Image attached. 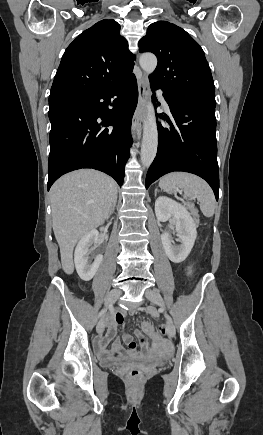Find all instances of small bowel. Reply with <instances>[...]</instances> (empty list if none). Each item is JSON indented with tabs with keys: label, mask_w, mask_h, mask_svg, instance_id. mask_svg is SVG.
<instances>
[{
	"label": "small bowel",
	"mask_w": 263,
	"mask_h": 435,
	"mask_svg": "<svg viewBox=\"0 0 263 435\" xmlns=\"http://www.w3.org/2000/svg\"><path fill=\"white\" fill-rule=\"evenodd\" d=\"M125 313L118 311L107 320V329L103 336L99 337L95 342V347L99 354L105 359H117L121 357H139L142 354L149 353L150 356H163V336L156 334L149 323L143 324L144 331L151 339V347H149L143 333L136 331V336L142 345L143 352L139 353L136 348V343L130 334L124 333L122 340L127 344V348L121 345V339L115 338L117 326L123 324Z\"/></svg>",
	"instance_id": "small-bowel-1"
}]
</instances>
